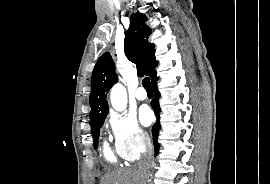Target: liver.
Wrapping results in <instances>:
<instances>
[{
	"instance_id": "1",
	"label": "liver",
	"mask_w": 270,
	"mask_h": 184,
	"mask_svg": "<svg viewBox=\"0 0 270 184\" xmlns=\"http://www.w3.org/2000/svg\"><path fill=\"white\" fill-rule=\"evenodd\" d=\"M144 174L142 169H119L104 175L100 184H142Z\"/></svg>"
}]
</instances>
